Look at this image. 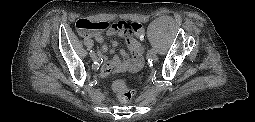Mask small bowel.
<instances>
[{
    "label": "small bowel",
    "mask_w": 255,
    "mask_h": 122,
    "mask_svg": "<svg viewBox=\"0 0 255 122\" xmlns=\"http://www.w3.org/2000/svg\"><path fill=\"white\" fill-rule=\"evenodd\" d=\"M107 35H115L117 34L119 38L127 37V46L131 53V57L128 56L127 52L124 50L120 51L119 55L113 57L111 61H105L103 64V71L109 73L112 71H130L135 72L138 71L143 65V52L144 48L140 42L144 38L137 39L134 36L127 35L124 30H115L109 29L106 31ZM84 37L89 39H94L98 43H102L104 41V36L101 32H92L88 35H84ZM118 46L117 41H113L111 44L110 52H115ZM103 51H107V47H103ZM106 73V74H107Z\"/></svg>",
    "instance_id": "1"
}]
</instances>
